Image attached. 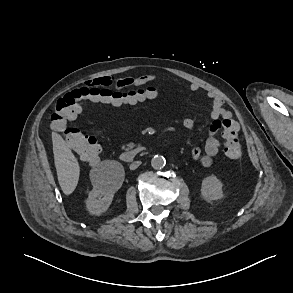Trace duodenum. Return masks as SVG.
Masks as SVG:
<instances>
[{
	"mask_svg": "<svg viewBox=\"0 0 293 293\" xmlns=\"http://www.w3.org/2000/svg\"><path fill=\"white\" fill-rule=\"evenodd\" d=\"M145 151V148L142 146L130 149V150H125L122 151L119 155V158L121 161L125 163H130L135 160V158L142 152Z\"/></svg>",
	"mask_w": 293,
	"mask_h": 293,
	"instance_id": "duodenum-1",
	"label": "duodenum"
}]
</instances>
